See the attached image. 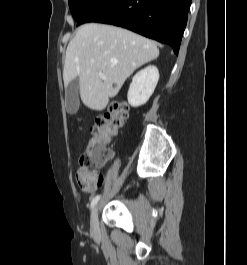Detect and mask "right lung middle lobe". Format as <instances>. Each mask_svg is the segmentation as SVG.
Masks as SVG:
<instances>
[{"label": "right lung middle lobe", "mask_w": 247, "mask_h": 265, "mask_svg": "<svg viewBox=\"0 0 247 265\" xmlns=\"http://www.w3.org/2000/svg\"><path fill=\"white\" fill-rule=\"evenodd\" d=\"M98 0H69L71 13L79 21Z\"/></svg>", "instance_id": "obj_1"}]
</instances>
